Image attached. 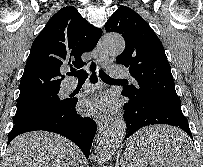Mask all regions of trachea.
Returning a JSON list of instances; mask_svg holds the SVG:
<instances>
[{
	"label": "trachea",
	"mask_w": 203,
	"mask_h": 167,
	"mask_svg": "<svg viewBox=\"0 0 203 167\" xmlns=\"http://www.w3.org/2000/svg\"><path fill=\"white\" fill-rule=\"evenodd\" d=\"M69 75L76 76L78 78V81L81 80H86L88 77V73L86 70H79V71H71ZM99 77L101 78L102 81L105 83H110V82H116V81H124V80H119V79H114L111 78L109 75H107L104 71L99 70Z\"/></svg>",
	"instance_id": "obj_1"
}]
</instances>
